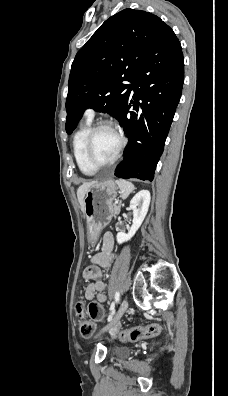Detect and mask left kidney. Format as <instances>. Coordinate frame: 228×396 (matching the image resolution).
Returning <instances> with one entry per match:
<instances>
[{
  "label": "left kidney",
  "instance_id": "1",
  "mask_svg": "<svg viewBox=\"0 0 228 396\" xmlns=\"http://www.w3.org/2000/svg\"><path fill=\"white\" fill-rule=\"evenodd\" d=\"M150 192L148 190L139 191L130 201V209L133 211V224L128 233L118 232L116 239L119 244L130 240L144 221L150 204Z\"/></svg>",
  "mask_w": 228,
  "mask_h": 396
}]
</instances>
